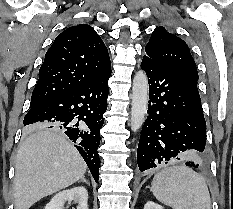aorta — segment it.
<instances>
[{
	"mask_svg": "<svg viewBox=\"0 0 233 209\" xmlns=\"http://www.w3.org/2000/svg\"><path fill=\"white\" fill-rule=\"evenodd\" d=\"M148 104V79L144 71H138L133 79L131 130L136 132L143 125Z\"/></svg>",
	"mask_w": 233,
	"mask_h": 209,
	"instance_id": "1",
	"label": "aorta"
}]
</instances>
